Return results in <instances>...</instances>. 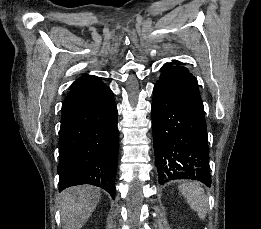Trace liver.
I'll return each instance as SVG.
<instances>
[{"label":"liver","mask_w":261,"mask_h":229,"mask_svg":"<svg viewBox=\"0 0 261 229\" xmlns=\"http://www.w3.org/2000/svg\"><path fill=\"white\" fill-rule=\"evenodd\" d=\"M101 199L100 189L92 185L70 187L59 197L64 229H81L91 217Z\"/></svg>","instance_id":"liver-1"}]
</instances>
